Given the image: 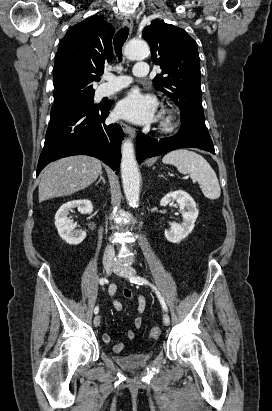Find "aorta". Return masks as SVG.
<instances>
[{"label":"aorta","mask_w":272,"mask_h":411,"mask_svg":"<svg viewBox=\"0 0 272 411\" xmlns=\"http://www.w3.org/2000/svg\"><path fill=\"white\" fill-rule=\"evenodd\" d=\"M148 45L144 40L132 39L125 47V55L130 60L145 58ZM121 177L124 194L131 206L139 203L140 173L135 159L134 147L130 139H125L121 147Z\"/></svg>","instance_id":"762f6f07"}]
</instances>
